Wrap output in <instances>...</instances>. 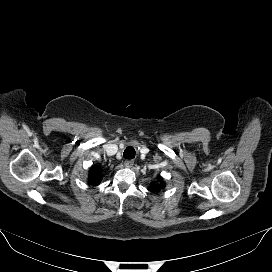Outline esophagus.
<instances>
[{
    "instance_id": "obj_1",
    "label": "esophagus",
    "mask_w": 272,
    "mask_h": 272,
    "mask_svg": "<svg viewBox=\"0 0 272 272\" xmlns=\"http://www.w3.org/2000/svg\"><path fill=\"white\" fill-rule=\"evenodd\" d=\"M124 165L126 168H131L134 165V161L133 160H126Z\"/></svg>"
}]
</instances>
